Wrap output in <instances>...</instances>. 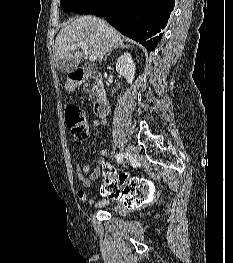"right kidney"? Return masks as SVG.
Listing matches in <instances>:
<instances>
[{"label":"right kidney","instance_id":"ca27d5eb","mask_svg":"<svg viewBox=\"0 0 233 263\" xmlns=\"http://www.w3.org/2000/svg\"><path fill=\"white\" fill-rule=\"evenodd\" d=\"M116 71L123 75L131 85L135 77V64L130 53H124L116 62Z\"/></svg>","mask_w":233,"mask_h":263}]
</instances>
